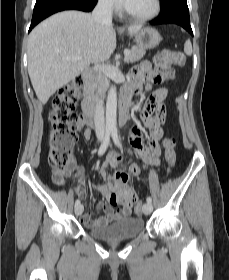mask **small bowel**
Wrapping results in <instances>:
<instances>
[{"label":"small bowel","mask_w":229,"mask_h":280,"mask_svg":"<svg viewBox=\"0 0 229 280\" xmlns=\"http://www.w3.org/2000/svg\"><path fill=\"white\" fill-rule=\"evenodd\" d=\"M150 65L147 62L140 63L131 75V82L126 84L123 91H126L131 96L134 93H139L144 87L148 88L153 83V78L149 73ZM168 96L167 88H160L154 91L146 105L142 118L145 123L151 126V131L146 139L143 138V130L141 123L137 121L130 131V142L136 152L142 157L146 163H151L154 154L157 153V143L161 138L162 131L160 123L165 117V107L163 101ZM155 117H153V112ZM84 137L87 140L91 138V132L86 130ZM123 158L117 153H110L100 166V175L105 184L95 185L90 180L81 175V168L77 169L75 179L78 181L76 194L82 200L87 198V188L99 192L110 204H99L98 210H102L105 215L99 218H93L90 213H85L82 216V221L85 226L95 227L104 226L113 222L118 218L127 217L132 212L131 199L135 197V193L127 183L132 177L140 173V168L136 165H131L127 170H119L114 177L108 172L109 167H118L122 164ZM76 168L75 162L70 163L67 172L70 173ZM114 178V181L112 179ZM115 195L116 201L112 203L110 198ZM121 205L118 210L114 206Z\"/></svg>","instance_id":"obj_1"}]
</instances>
